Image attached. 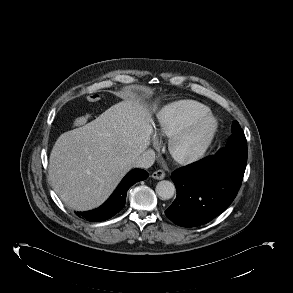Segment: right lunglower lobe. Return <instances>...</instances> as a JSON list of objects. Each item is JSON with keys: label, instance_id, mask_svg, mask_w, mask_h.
<instances>
[{"label": "right lung lower lobe", "instance_id": "right-lung-lower-lobe-1", "mask_svg": "<svg viewBox=\"0 0 293 293\" xmlns=\"http://www.w3.org/2000/svg\"><path fill=\"white\" fill-rule=\"evenodd\" d=\"M148 176L149 174L142 169H134L130 171L122 179L116 190L103 205L97 209L86 212H77L76 214L84 217L88 221H104L111 218L123 209L129 187L136 182L145 180Z\"/></svg>", "mask_w": 293, "mask_h": 293}]
</instances>
